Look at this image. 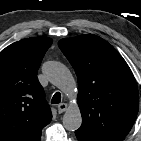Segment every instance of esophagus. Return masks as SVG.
<instances>
[{
	"mask_svg": "<svg viewBox=\"0 0 141 141\" xmlns=\"http://www.w3.org/2000/svg\"><path fill=\"white\" fill-rule=\"evenodd\" d=\"M57 108H58L59 113H63L67 110V104L66 103H60Z\"/></svg>",
	"mask_w": 141,
	"mask_h": 141,
	"instance_id": "1",
	"label": "esophagus"
}]
</instances>
